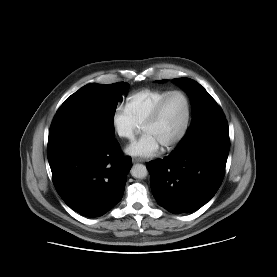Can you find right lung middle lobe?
Returning <instances> with one entry per match:
<instances>
[{"label":"right lung middle lobe","instance_id":"1","mask_svg":"<svg viewBox=\"0 0 277 277\" xmlns=\"http://www.w3.org/2000/svg\"><path fill=\"white\" fill-rule=\"evenodd\" d=\"M127 83L88 84L67 98L54 119H76L114 137V114Z\"/></svg>","mask_w":277,"mask_h":277}]
</instances>
